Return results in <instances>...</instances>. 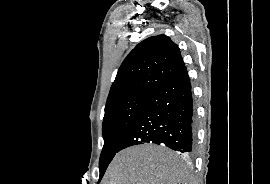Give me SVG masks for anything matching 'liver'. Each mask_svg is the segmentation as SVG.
<instances>
[{
	"instance_id": "obj_1",
	"label": "liver",
	"mask_w": 270,
	"mask_h": 184,
	"mask_svg": "<svg viewBox=\"0 0 270 184\" xmlns=\"http://www.w3.org/2000/svg\"><path fill=\"white\" fill-rule=\"evenodd\" d=\"M104 179V184H188L190 175L168 149L143 144L117 153Z\"/></svg>"
}]
</instances>
